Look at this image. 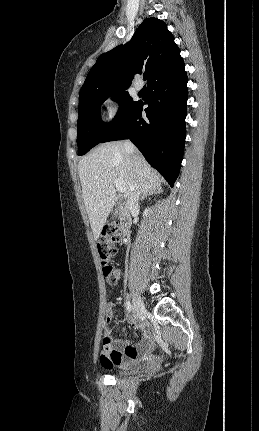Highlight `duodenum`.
Wrapping results in <instances>:
<instances>
[{
    "instance_id": "1",
    "label": "duodenum",
    "mask_w": 259,
    "mask_h": 431,
    "mask_svg": "<svg viewBox=\"0 0 259 431\" xmlns=\"http://www.w3.org/2000/svg\"><path fill=\"white\" fill-rule=\"evenodd\" d=\"M119 218H120V226H121L122 232L126 235L129 232L132 224V219L129 211L124 207H120Z\"/></svg>"
}]
</instances>
